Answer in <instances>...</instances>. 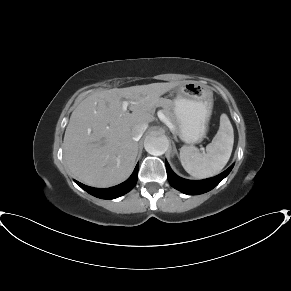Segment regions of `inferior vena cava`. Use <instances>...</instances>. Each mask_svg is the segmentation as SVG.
Masks as SVG:
<instances>
[{"mask_svg": "<svg viewBox=\"0 0 291 291\" xmlns=\"http://www.w3.org/2000/svg\"><path fill=\"white\" fill-rule=\"evenodd\" d=\"M147 129L146 125H136L132 128V138L135 141H139V139L142 137L143 133Z\"/></svg>", "mask_w": 291, "mask_h": 291, "instance_id": "1", "label": "inferior vena cava"}]
</instances>
